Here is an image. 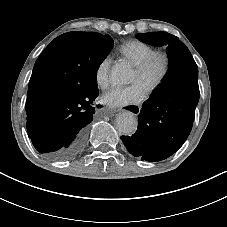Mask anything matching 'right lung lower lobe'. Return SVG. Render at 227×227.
<instances>
[{
  "instance_id": "obj_1",
  "label": "right lung lower lobe",
  "mask_w": 227,
  "mask_h": 227,
  "mask_svg": "<svg viewBox=\"0 0 227 227\" xmlns=\"http://www.w3.org/2000/svg\"><path fill=\"white\" fill-rule=\"evenodd\" d=\"M98 90L84 95L63 93L47 100L38 115L27 117V131L36 150L56 161L70 160L82 150L93 120Z\"/></svg>"
}]
</instances>
